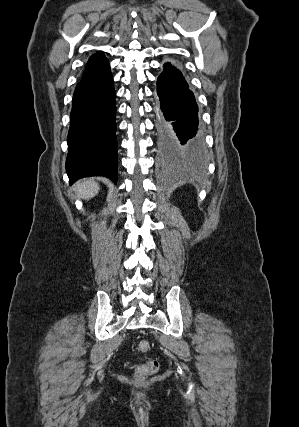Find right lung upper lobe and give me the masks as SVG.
Instances as JSON below:
<instances>
[{
  "label": "right lung upper lobe",
  "mask_w": 299,
  "mask_h": 427,
  "mask_svg": "<svg viewBox=\"0 0 299 427\" xmlns=\"http://www.w3.org/2000/svg\"><path fill=\"white\" fill-rule=\"evenodd\" d=\"M110 71L109 62L102 52L92 55L87 63L82 80H92Z\"/></svg>",
  "instance_id": "cb5924a9"
}]
</instances>
